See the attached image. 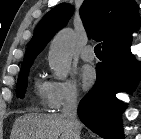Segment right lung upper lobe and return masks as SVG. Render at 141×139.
<instances>
[{"instance_id":"right-lung-upper-lobe-1","label":"right lung upper lobe","mask_w":141,"mask_h":139,"mask_svg":"<svg viewBox=\"0 0 141 139\" xmlns=\"http://www.w3.org/2000/svg\"><path fill=\"white\" fill-rule=\"evenodd\" d=\"M139 6L134 0H84L80 15L89 37L103 41L102 48L131 36L139 26ZM72 7L62 3L37 25L21 67L31 66L54 34L68 22Z\"/></svg>"}]
</instances>
